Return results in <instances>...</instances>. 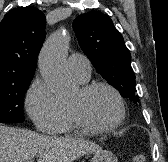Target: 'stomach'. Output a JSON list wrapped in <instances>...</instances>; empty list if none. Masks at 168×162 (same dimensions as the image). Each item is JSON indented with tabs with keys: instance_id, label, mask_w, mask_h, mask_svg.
Here are the masks:
<instances>
[{
	"instance_id": "0dacf381",
	"label": "stomach",
	"mask_w": 168,
	"mask_h": 162,
	"mask_svg": "<svg viewBox=\"0 0 168 162\" xmlns=\"http://www.w3.org/2000/svg\"><path fill=\"white\" fill-rule=\"evenodd\" d=\"M91 162H118L116 156L107 150H101L94 153Z\"/></svg>"
}]
</instances>
